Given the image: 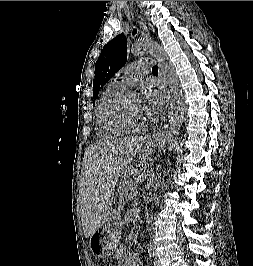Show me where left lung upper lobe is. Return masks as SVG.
I'll use <instances>...</instances> for the list:
<instances>
[{"label": "left lung upper lobe", "mask_w": 253, "mask_h": 266, "mask_svg": "<svg viewBox=\"0 0 253 266\" xmlns=\"http://www.w3.org/2000/svg\"><path fill=\"white\" fill-rule=\"evenodd\" d=\"M126 60L127 38L124 34H119L104 46L95 64L93 99L98 97L100 88L105 85L108 80L125 65Z\"/></svg>", "instance_id": "5c2ea615"}]
</instances>
